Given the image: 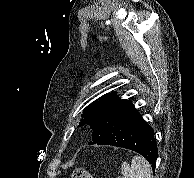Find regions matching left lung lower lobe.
Here are the masks:
<instances>
[{
	"label": "left lung lower lobe",
	"mask_w": 194,
	"mask_h": 178,
	"mask_svg": "<svg viewBox=\"0 0 194 178\" xmlns=\"http://www.w3.org/2000/svg\"><path fill=\"white\" fill-rule=\"evenodd\" d=\"M91 145H113L138 152L155 168L157 144L152 127L134 105L122 100L93 128Z\"/></svg>",
	"instance_id": "left-lung-lower-lobe-1"
}]
</instances>
